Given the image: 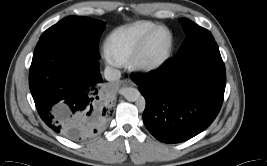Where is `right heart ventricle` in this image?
<instances>
[{"label":"right heart ventricle","mask_w":267,"mask_h":166,"mask_svg":"<svg viewBox=\"0 0 267 166\" xmlns=\"http://www.w3.org/2000/svg\"><path fill=\"white\" fill-rule=\"evenodd\" d=\"M157 26L152 21L142 20L117 27L109 35V46L121 61H125L130 57L143 38Z\"/></svg>","instance_id":"1"}]
</instances>
